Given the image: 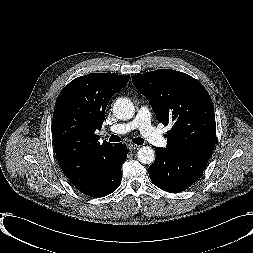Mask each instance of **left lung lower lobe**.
I'll use <instances>...</instances> for the list:
<instances>
[{
  "label": "left lung lower lobe",
  "mask_w": 253,
  "mask_h": 253,
  "mask_svg": "<svg viewBox=\"0 0 253 253\" xmlns=\"http://www.w3.org/2000/svg\"><path fill=\"white\" fill-rule=\"evenodd\" d=\"M156 159L149 167L153 184L160 189L178 193L190 187L202 174L209 158L186 153H174L155 148Z\"/></svg>",
  "instance_id": "left-lung-lower-lobe-1"
}]
</instances>
